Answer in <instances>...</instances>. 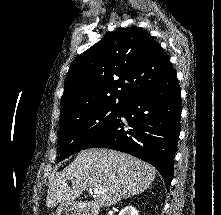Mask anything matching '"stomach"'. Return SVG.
<instances>
[{
	"instance_id": "obj_1",
	"label": "stomach",
	"mask_w": 221,
	"mask_h": 215,
	"mask_svg": "<svg viewBox=\"0 0 221 215\" xmlns=\"http://www.w3.org/2000/svg\"><path fill=\"white\" fill-rule=\"evenodd\" d=\"M56 215H77L76 206L72 202L60 203Z\"/></svg>"
}]
</instances>
